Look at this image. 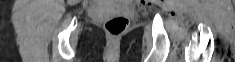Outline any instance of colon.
Listing matches in <instances>:
<instances>
[{
	"label": "colon",
	"mask_w": 235,
	"mask_h": 62,
	"mask_svg": "<svg viewBox=\"0 0 235 62\" xmlns=\"http://www.w3.org/2000/svg\"><path fill=\"white\" fill-rule=\"evenodd\" d=\"M129 25V20L125 16H116L108 19L104 28L106 32L112 37H118L122 35Z\"/></svg>",
	"instance_id": "colon-1"
}]
</instances>
